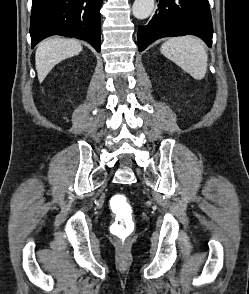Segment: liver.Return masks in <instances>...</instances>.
I'll return each instance as SVG.
<instances>
[{
  "label": "liver",
  "mask_w": 249,
  "mask_h": 294,
  "mask_svg": "<svg viewBox=\"0 0 249 294\" xmlns=\"http://www.w3.org/2000/svg\"><path fill=\"white\" fill-rule=\"evenodd\" d=\"M82 51L80 43L74 39L50 38L42 41L35 53L38 80L41 83L59 62L78 55Z\"/></svg>",
  "instance_id": "6515ba94"
}]
</instances>
